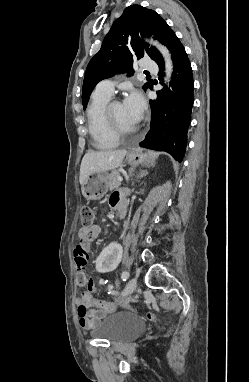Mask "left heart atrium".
Masks as SVG:
<instances>
[{
    "mask_svg": "<svg viewBox=\"0 0 249 382\" xmlns=\"http://www.w3.org/2000/svg\"><path fill=\"white\" fill-rule=\"evenodd\" d=\"M122 105L126 114L135 123H138L142 119L145 111V101L140 92L130 90Z\"/></svg>",
    "mask_w": 249,
    "mask_h": 382,
    "instance_id": "39dd6f15",
    "label": "left heart atrium"
}]
</instances>
